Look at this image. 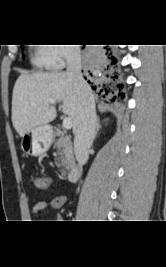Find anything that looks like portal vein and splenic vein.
<instances>
[{
	"instance_id": "1",
	"label": "portal vein and splenic vein",
	"mask_w": 166,
	"mask_h": 267,
	"mask_svg": "<svg viewBox=\"0 0 166 267\" xmlns=\"http://www.w3.org/2000/svg\"><path fill=\"white\" fill-rule=\"evenodd\" d=\"M50 104H55L54 101H50ZM73 125L72 119L70 117H65L63 119V127L65 129H71Z\"/></svg>"
}]
</instances>
